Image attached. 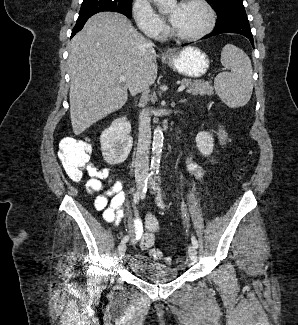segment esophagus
Returning a JSON list of instances; mask_svg holds the SVG:
<instances>
[{
	"instance_id": "obj_1",
	"label": "esophagus",
	"mask_w": 298,
	"mask_h": 325,
	"mask_svg": "<svg viewBox=\"0 0 298 325\" xmlns=\"http://www.w3.org/2000/svg\"><path fill=\"white\" fill-rule=\"evenodd\" d=\"M164 56H166V57H170V52H169V51L166 52V53L164 54Z\"/></svg>"
}]
</instances>
